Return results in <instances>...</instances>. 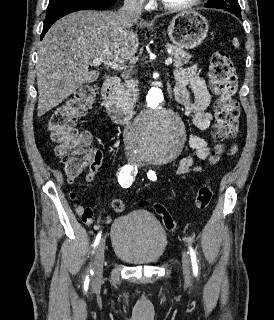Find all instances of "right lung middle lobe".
I'll return each instance as SVG.
<instances>
[{
    "label": "right lung middle lobe",
    "instance_id": "1",
    "mask_svg": "<svg viewBox=\"0 0 274 320\" xmlns=\"http://www.w3.org/2000/svg\"><path fill=\"white\" fill-rule=\"evenodd\" d=\"M68 1H73V0H50L48 8L55 7L57 5L63 4Z\"/></svg>",
    "mask_w": 274,
    "mask_h": 320
}]
</instances>
